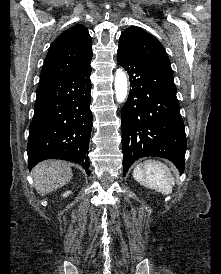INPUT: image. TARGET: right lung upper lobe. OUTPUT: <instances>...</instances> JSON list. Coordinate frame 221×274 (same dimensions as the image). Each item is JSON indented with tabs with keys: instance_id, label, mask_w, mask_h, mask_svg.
I'll use <instances>...</instances> for the list:
<instances>
[{
	"instance_id": "1",
	"label": "right lung upper lobe",
	"mask_w": 221,
	"mask_h": 274,
	"mask_svg": "<svg viewBox=\"0 0 221 274\" xmlns=\"http://www.w3.org/2000/svg\"><path fill=\"white\" fill-rule=\"evenodd\" d=\"M92 56V42L88 30L82 25L71 27L50 46L38 87L90 68Z\"/></svg>"
}]
</instances>
